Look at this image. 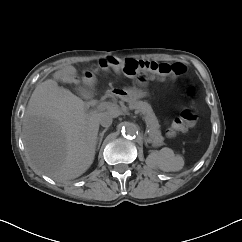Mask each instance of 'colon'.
I'll use <instances>...</instances> for the list:
<instances>
[{"label":"colon","instance_id":"1","mask_svg":"<svg viewBox=\"0 0 242 242\" xmlns=\"http://www.w3.org/2000/svg\"><path fill=\"white\" fill-rule=\"evenodd\" d=\"M108 68L124 72L139 84L153 79L181 78L187 72L186 66L182 63L170 64L154 61H139L122 59L116 56L103 57L92 66V70ZM189 91L192 94V88H189ZM196 119L197 116L193 110L185 109L181 112L180 116L173 120L168 133L172 135L184 132L195 123Z\"/></svg>","mask_w":242,"mask_h":242}]
</instances>
